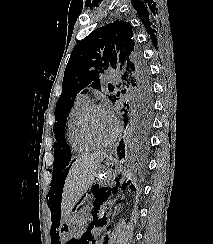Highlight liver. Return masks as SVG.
I'll use <instances>...</instances> for the list:
<instances>
[{
  "mask_svg": "<svg viewBox=\"0 0 213 244\" xmlns=\"http://www.w3.org/2000/svg\"><path fill=\"white\" fill-rule=\"evenodd\" d=\"M106 156V152L84 154L78 157L72 164L65 180L62 193V221L68 217L78 200L90 188L100 163Z\"/></svg>",
  "mask_w": 213,
  "mask_h": 244,
  "instance_id": "liver-1",
  "label": "liver"
}]
</instances>
